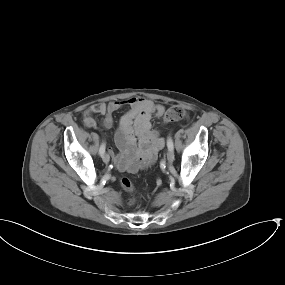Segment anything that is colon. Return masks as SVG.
<instances>
[{"mask_svg": "<svg viewBox=\"0 0 285 285\" xmlns=\"http://www.w3.org/2000/svg\"><path fill=\"white\" fill-rule=\"evenodd\" d=\"M161 112V109H158ZM185 114V109L180 105H174L167 109L163 115V119L165 122L168 121H176L181 119ZM121 187L127 191L133 190V184L128 177H121L119 180Z\"/></svg>", "mask_w": 285, "mask_h": 285, "instance_id": "obj_1", "label": "colon"}]
</instances>
